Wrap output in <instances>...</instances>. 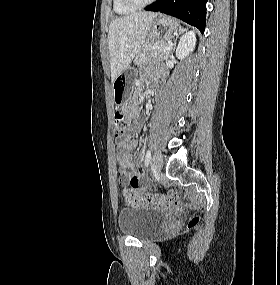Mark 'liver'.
I'll use <instances>...</instances> for the list:
<instances>
[{"label": "liver", "instance_id": "1", "mask_svg": "<svg viewBox=\"0 0 280 285\" xmlns=\"http://www.w3.org/2000/svg\"><path fill=\"white\" fill-rule=\"evenodd\" d=\"M156 17L157 13L139 12L116 18L111 22L108 45L112 83L139 53Z\"/></svg>", "mask_w": 280, "mask_h": 285}]
</instances>
